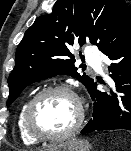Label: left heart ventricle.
I'll return each mask as SVG.
<instances>
[{
	"label": "left heart ventricle",
	"mask_w": 131,
	"mask_h": 151,
	"mask_svg": "<svg viewBox=\"0 0 131 151\" xmlns=\"http://www.w3.org/2000/svg\"><path fill=\"white\" fill-rule=\"evenodd\" d=\"M74 101L63 93L43 97L32 114L33 128L43 135H57L66 131L75 121Z\"/></svg>",
	"instance_id": "1"
}]
</instances>
